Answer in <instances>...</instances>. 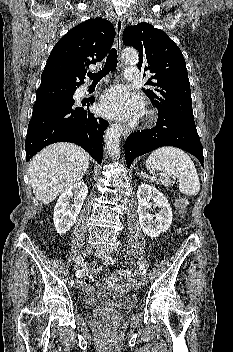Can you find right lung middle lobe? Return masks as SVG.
Listing matches in <instances>:
<instances>
[{
    "instance_id": "1",
    "label": "right lung middle lobe",
    "mask_w": 233,
    "mask_h": 352,
    "mask_svg": "<svg viewBox=\"0 0 233 352\" xmlns=\"http://www.w3.org/2000/svg\"><path fill=\"white\" fill-rule=\"evenodd\" d=\"M77 87L64 85H51L39 87L36 91V103L63 101L73 99Z\"/></svg>"
}]
</instances>
